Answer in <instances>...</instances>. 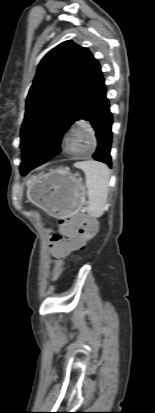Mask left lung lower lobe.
<instances>
[{"label":"left lung lower lobe","instance_id":"obj_1","mask_svg":"<svg viewBox=\"0 0 155 413\" xmlns=\"http://www.w3.org/2000/svg\"><path fill=\"white\" fill-rule=\"evenodd\" d=\"M78 118L79 120H86L95 131L93 133H95L97 138L98 147L93 155V158L104 162L111 167L112 163L110 149L112 143V114L109 110V103L106 97V87L103 76L96 89L82 106ZM61 138L62 135L58 136L54 143H61ZM59 152L60 150L57 153Z\"/></svg>","mask_w":155,"mask_h":413}]
</instances>
